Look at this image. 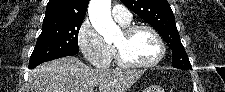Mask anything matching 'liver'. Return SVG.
<instances>
[{
  "label": "liver",
  "mask_w": 225,
  "mask_h": 92,
  "mask_svg": "<svg viewBox=\"0 0 225 92\" xmlns=\"http://www.w3.org/2000/svg\"><path fill=\"white\" fill-rule=\"evenodd\" d=\"M143 73L136 69H93L68 56L31 70L27 92H126Z\"/></svg>",
  "instance_id": "1"
}]
</instances>
